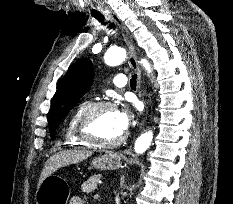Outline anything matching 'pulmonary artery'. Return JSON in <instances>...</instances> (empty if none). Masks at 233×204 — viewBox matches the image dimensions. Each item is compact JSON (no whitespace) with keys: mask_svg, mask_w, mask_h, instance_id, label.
<instances>
[{"mask_svg":"<svg viewBox=\"0 0 233 204\" xmlns=\"http://www.w3.org/2000/svg\"><path fill=\"white\" fill-rule=\"evenodd\" d=\"M113 82L117 87H124L127 83V78L124 74H118L114 77Z\"/></svg>","mask_w":233,"mask_h":204,"instance_id":"obj_1","label":"pulmonary artery"}]
</instances>
